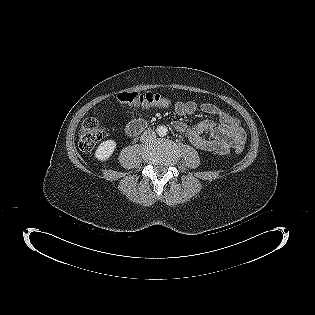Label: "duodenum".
<instances>
[{
  "mask_svg": "<svg viewBox=\"0 0 315 315\" xmlns=\"http://www.w3.org/2000/svg\"><path fill=\"white\" fill-rule=\"evenodd\" d=\"M146 127V123L142 120H136L129 123L126 127V132L129 135H135Z\"/></svg>",
  "mask_w": 315,
  "mask_h": 315,
  "instance_id": "1",
  "label": "duodenum"
}]
</instances>
